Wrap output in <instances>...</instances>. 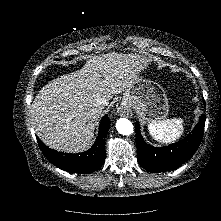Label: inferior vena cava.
<instances>
[{"label":"inferior vena cava","mask_w":221,"mask_h":221,"mask_svg":"<svg viewBox=\"0 0 221 221\" xmlns=\"http://www.w3.org/2000/svg\"><path fill=\"white\" fill-rule=\"evenodd\" d=\"M97 103L101 106H107L108 101L102 97L97 98Z\"/></svg>","instance_id":"602c4592"}]
</instances>
